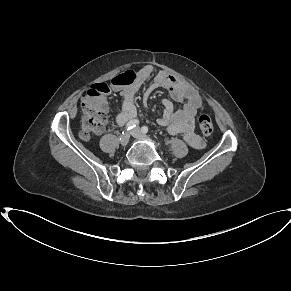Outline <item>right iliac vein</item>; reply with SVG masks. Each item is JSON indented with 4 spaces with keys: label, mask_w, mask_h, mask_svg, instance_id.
Wrapping results in <instances>:
<instances>
[{
    "label": "right iliac vein",
    "mask_w": 291,
    "mask_h": 291,
    "mask_svg": "<svg viewBox=\"0 0 291 291\" xmlns=\"http://www.w3.org/2000/svg\"><path fill=\"white\" fill-rule=\"evenodd\" d=\"M131 134L129 132H125L121 137H120V143L122 146H126L130 140Z\"/></svg>",
    "instance_id": "1"
}]
</instances>
